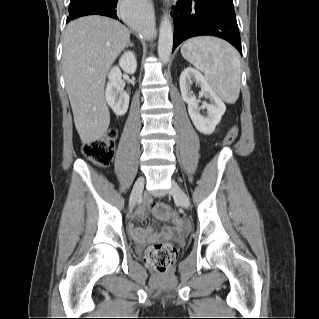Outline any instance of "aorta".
I'll use <instances>...</instances> for the list:
<instances>
[{
  "label": "aorta",
  "instance_id": "762f6f07",
  "mask_svg": "<svg viewBox=\"0 0 319 319\" xmlns=\"http://www.w3.org/2000/svg\"><path fill=\"white\" fill-rule=\"evenodd\" d=\"M138 28L143 32H148L149 26L145 22H140ZM173 47V29L169 16L165 15L159 28L158 56L162 63H168Z\"/></svg>",
  "mask_w": 319,
  "mask_h": 319
}]
</instances>
